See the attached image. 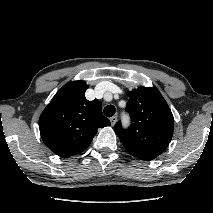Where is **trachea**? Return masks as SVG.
Returning <instances> with one entry per match:
<instances>
[{
  "label": "trachea",
  "instance_id": "1",
  "mask_svg": "<svg viewBox=\"0 0 213 213\" xmlns=\"http://www.w3.org/2000/svg\"><path fill=\"white\" fill-rule=\"evenodd\" d=\"M115 111L116 109L113 105H108L103 110L104 115L107 117H112L115 114Z\"/></svg>",
  "mask_w": 213,
  "mask_h": 213
}]
</instances>
